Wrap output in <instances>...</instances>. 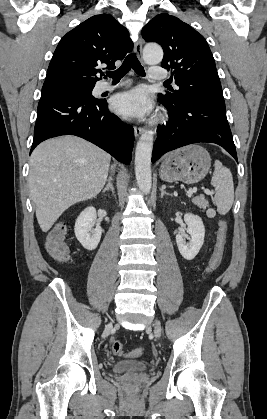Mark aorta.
Instances as JSON below:
<instances>
[{"mask_svg":"<svg viewBox=\"0 0 267 419\" xmlns=\"http://www.w3.org/2000/svg\"><path fill=\"white\" fill-rule=\"evenodd\" d=\"M143 57L148 64H158L163 59V50L155 44H148L144 48ZM154 132L145 131L137 142L135 151V174L139 189L148 194L152 186L151 156Z\"/></svg>","mask_w":267,"mask_h":419,"instance_id":"762f6f07","label":"aorta"}]
</instances>
